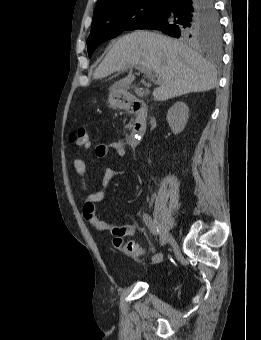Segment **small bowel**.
I'll return each instance as SVG.
<instances>
[{
  "mask_svg": "<svg viewBox=\"0 0 261 340\" xmlns=\"http://www.w3.org/2000/svg\"><path fill=\"white\" fill-rule=\"evenodd\" d=\"M95 141V137H89L84 143L83 148L86 151L92 149ZM112 150L118 157H124L126 155V148L122 141L113 140L105 143H100L95 148V154L98 158H105ZM73 166L76 173L80 177L81 190L85 196V201L82 206V213L84 218L97 230L107 232L115 237H129L134 236L136 233L143 232L142 228H138L130 224H120L117 222L109 223L101 220L97 216L96 204L105 198L107 189L117 172L111 167H105L102 177V188L98 191H90L86 179L87 165L81 158H75L73 160Z\"/></svg>",
  "mask_w": 261,
  "mask_h": 340,
  "instance_id": "1",
  "label": "small bowel"
}]
</instances>
